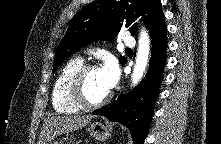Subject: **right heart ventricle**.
I'll list each match as a JSON object with an SVG mask.
<instances>
[{
	"mask_svg": "<svg viewBox=\"0 0 221 144\" xmlns=\"http://www.w3.org/2000/svg\"><path fill=\"white\" fill-rule=\"evenodd\" d=\"M83 59L75 57L67 61L61 68L52 89V104L61 114H73L82 108L77 106L69 95V82L76 70L83 65Z\"/></svg>",
	"mask_w": 221,
	"mask_h": 144,
	"instance_id": "obj_1",
	"label": "right heart ventricle"
}]
</instances>
